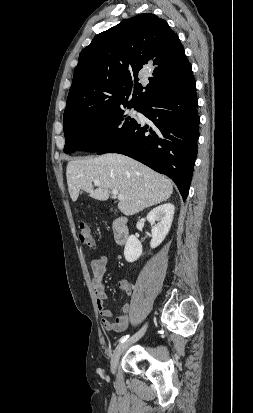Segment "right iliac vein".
Instances as JSON below:
<instances>
[{"instance_id": "right-iliac-vein-1", "label": "right iliac vein", "mask_w": 253, "mask_h": 413, "mask_svg": "<svg viewBox=\"0 0 253 413\" xmlns=\"http://www.w3.org/2000/svg\"><path fill=\"white\" fill-rule=\"evenodd\" d=\"M147 329V324L144 325L131 339H129L126 342H123L119 345H117V347L115 348L112 356H111V361H110V369L111 372L114 373L117 365H118V361L119 358L121 356V354L123 353V351L131 344H133L134 342H136L137 340H139L145 333Z\"/></svg>"}]
</instances>
